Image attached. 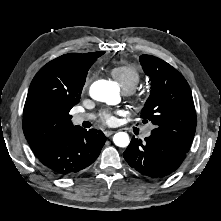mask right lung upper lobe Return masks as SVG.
Here are the masks:
<instances>
[{
	"label": "right lung upper lobe",
	"mask_w": 221,
	"mask_h": 221,
	"mask_svg": "<svg viewBox=\"0 0 221 221\" xmlns=\"http://www.w3.org/2000/svg\"><path fill=\"white\" fill-rule=\"evenodd\" d=\"M103 54H65L35 75L23 111V131L35 155L75 127L69 111L80 100L87 71Z\"/></svg>",
	"instance_id": "cb5924a9"
}]
</instances>
